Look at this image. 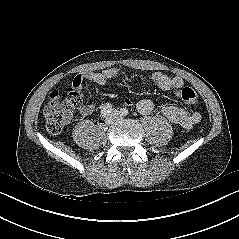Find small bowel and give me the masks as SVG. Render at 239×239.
<instances>
[{
  "label": "small bowel",
  "mask_w": 239,
  "mask_h": 239,
  "mask_svg": "<svg viewBox=\"0 0 239 239\" xmlns=\"http://www.w3.org/2000/svg\"><path fill=\"white\" fill-rule=\"evenodd\" d=\"M118 75V69L111 67L99 72L89 71L83 75H77L72 81L74 91L78 94L81 104L79 112L84 115H90L93 113L94 104H83V95L81 89L83 83L90 82L99 86H105L110 80L114 79ZM151 82L161 90H174L177 95H180V91L183 88L184 81L179 76L170 77L162 72H155L150 77ZM130 105L134 103L130 100H126ZM137 110L143 114H149L155 107L152 100L143 99L135 103ZM162 114L172 123L181 126L184 129H191L195 124L201 120V114L197 111L187 112L181 107L173 104L166 105L162 108Z\"/></svg>",
  "instance_id": "1"
}]
</instances>
